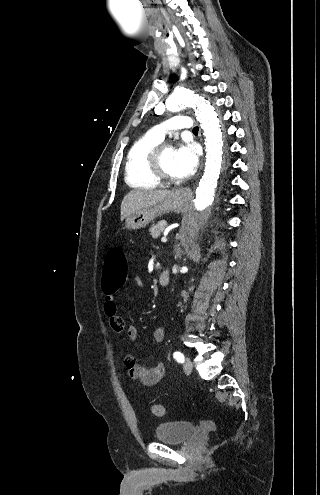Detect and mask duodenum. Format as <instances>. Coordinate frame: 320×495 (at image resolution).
Wrapping results in <instances>:
<instances>
[{
  "label": "duodenum",
  "mask_w": 320,
  "mask_h": 495,
  "mask_svg": "<svg viewBox=\"0 0 320 495\" xmlns=\"http://www.w3.org/2000/svg\"><path fill=\"white\" fill-rule=\"evenodd\" d=\"M171 273L168 268L164 269L159 276V284L167 286L170 283Z\"/></svg>",
  "instance_id": "410a0bca"
}]
</instances>
